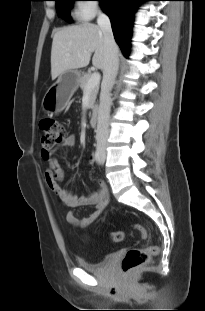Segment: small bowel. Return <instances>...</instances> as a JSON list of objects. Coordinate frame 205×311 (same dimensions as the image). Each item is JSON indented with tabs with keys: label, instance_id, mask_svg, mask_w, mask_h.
Segmentation results:
<instances>
[{
	"label": "small bowel",
	"instance_id": "small-bowel-1",
	"mask_svg": "<svg viewBox=\"0 0 205 311\" xmlns=\"http://www.w3.org/2000/svg\"><path fill=\"white\" fill-rule=\"evenodd\" d=\"M76 144V137L69 135L60 145V149L72 148ZM91 163H95V153L89 156ZM45 181L49 188L58 196L59 200L68 208H77L80 206L94 207L93 211L88 215L81 217L73 211L67 214V221L73 226L85 227L93 223L101 215L106 208L108 202V192L103 182H99L100 188L88 196H78L72 190L65 189L61 186L63 172L61 165L56 157L50 155L48 165L44 173Z\"/></svg>",
	"mask_w": 205,
	"mask_h": 311
}]
</instances>
